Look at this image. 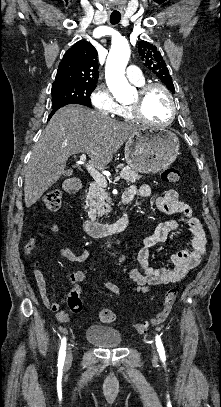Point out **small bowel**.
<instances>
[{
    "label": "small bowel",
    "mask_w": 221,
    "mask_h": 407,
    "mask_svg": "<svg viewBox=\"0 0 221 407\" xmlns=\"http://www.w3.org/2000/svg\"><path fill=\"white\" fill-rule=\"evenodd\" d=\"M152 190L148 185L130 186L122 194L131 202L136 196L148 198ZM156 208L166 214L176 215L177 219L168 220L161 223L152 234L144 239V245L137 254L138 268H130L122 271L124 280H131L134 285L125 283V287L132 293L146 294L152 287L157 285H167L177 283L182 280L190 270L194 269L207 251V238L200 221L194 216L189 204L179 199L177 191L166 189L155 199ZM179 221L185 223L192 234V250L179 251L171 258L172 266L152 267L148 264L150 250L156 246L165 243L169 236L177 229ZM51 231L58 232L56 226L51 227ZM35 247V239L32 238L24 247V254L29 255ZM60 254L71 261L82 262L86 259V253L80 255L74 254L69 248H62ZM95 272L94 267H89L81 271H72L69 276L72 282L81 283L86 280L88 275ZM34 280L40 293L43 304L54 314L62 323L69 321L68 315L61 311V303L72 299L71 291L66 292L60 302H51L48 296L47 283L40 267L36 265L33 270ZM105 288L114 293L120 294V287L109 281L102 283Z\"/></svg>",
    "instance_id": "c3829d8e"
}]
</instances>
